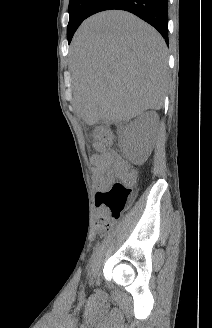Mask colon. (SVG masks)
Wrapping results in <instances>:
<instances>
[{
	"mask_svg": "<svg viewBox=\"0 0 212 328\" xmlns=\"http://www.w3.org/2000/svg\"><path fill=\"white\" fill-rule=\"evenodd\" d=\"M93 139L99 144L108 146L112 143V136L104 129H96ZM131 189L125 183L116 182L99 191L96 196V205L100 210L98 224L104 229L112 227L113 223L120 217L128 199Z\"/></svg>",
	"mask_w": 212,
	"mask_h": 328,
	"instance_id": "colon-1",
	"label": "colon"
}]
</instances>
